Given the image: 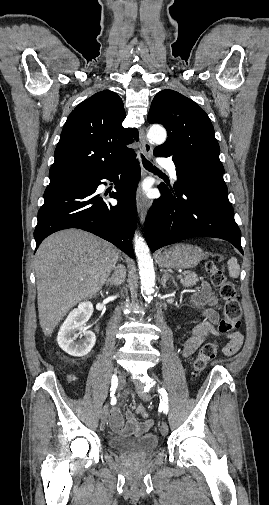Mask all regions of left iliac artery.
<instances>
[{
	"mask_svg": "<svg viewBox=\"0 0 269 505\" xmlns=\"http://www.w3.org/2000/svg\"><path fill=\"white\" fill-rule=\"evenodd\" d=\"M158 393L160 394L159 408L164 412V414H167L169 411L167 392L163 388H158Z\"/></svg>",
	"mask_w": 269,
	"mask_h": 505,
	"instance_id": "left-iliac-artery-1",
	"label": "left iliac artery"
}]
</instances>
